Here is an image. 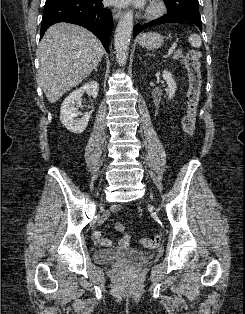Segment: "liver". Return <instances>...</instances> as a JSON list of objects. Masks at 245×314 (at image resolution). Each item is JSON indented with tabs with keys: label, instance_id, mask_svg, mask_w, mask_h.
Wrapping results in <instances>:
<instances>
[{
	"label": "liver",
	"instance_id": "1",
	"mask_svg": "<svg viewBox=\"0 0 245 314\" xmlns=\"http://www.w3.org/2000/svg\"><path fill=\"white\" fill-rule=\"evenodd\" d=\"M103 55L100 40L87 29L69 23L49 27L38 47V79L49 103L79 85Z\"/></svg>",
	"mask_w": 245,
	"mask_h": 314
}]
</instances>
